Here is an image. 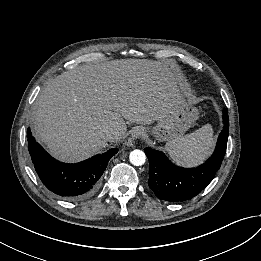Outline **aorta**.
I'll return each instance as SVG.
<instances>
[{"label":"aorta","mask_w":261,"mask_h":261,"mask_svg":"<svg viewBox=\"0 0 261 261\" xmlns=\"http://www.w3.org/2000/svg\"><path fill=\"white\" fill-rule=\"evenodd\" d=\"M130 162L135 166H142L146 161V155L142 150H133L129 155Z\"/></svg>","instance_id":"obj_1"}]
</instances>
